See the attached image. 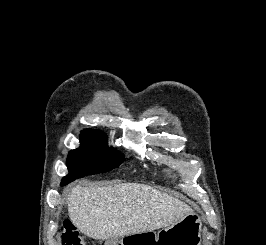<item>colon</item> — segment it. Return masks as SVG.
I'll list each match as a JSON object with an SVG mask.
<instances>
[{"mask_svg":"<svg viewBox=\"0 0 266 245\" xmlns=\"http://www.w3.org/2000/svg\"><path fill=\"white\" fill-rule=\"evenodd\" d=\"M62 245H87L84 238L79 234L73 222L65 219L62 224Z\"/></svg>","mask_w":266,"mask_h":245,"instance_id":"obj_1","label":"colon"}]
</instances>
